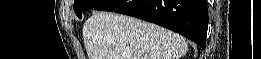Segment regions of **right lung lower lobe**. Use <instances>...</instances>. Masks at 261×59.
<instances>
[{
    "label": "right lung lower lobe",
    "mask_w": 261,
    "mask_h": 59,
    "mask_svg": "<svg viewBox=\"0 0 261 59\" xmlns=\"http://www.w3.org/2000/svg\"><path fill=\"white\" fill-rule=\"evenodd\" d=\"M149 21L175 31L205 47L207 0H106L94 8Z\"/></svg>",
    "instance_id": "right-lung-lower-lobe-1"
}]
</instances>
